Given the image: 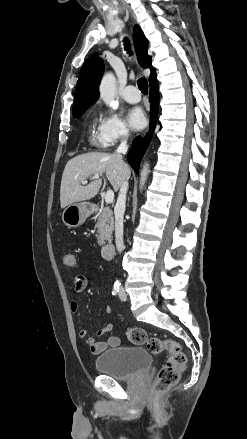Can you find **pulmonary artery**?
<instances>
[{"label": "pulmonary artery", "mask_w": 247, "mask_h": 439, "mask_svg": "<svg viewBox=\"0 0 247 439\" xmlns=\"http://www.w3.org/2000/svg\"><path fill=\"white\" fill-rule=\"evenodd\" d=\"M122 95L124 100L129 103H137L141 99L139 90L133 85L126 86Z\"/></svg>", "instance_id": "e3ab8cb5"}]
</instances>
